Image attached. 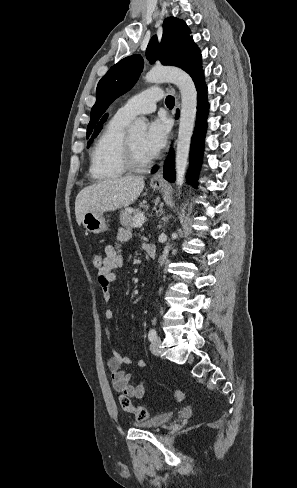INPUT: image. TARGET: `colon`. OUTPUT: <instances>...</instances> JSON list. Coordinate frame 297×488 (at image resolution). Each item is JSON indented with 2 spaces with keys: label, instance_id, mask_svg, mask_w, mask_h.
<instances>
[{
  "label": "colon",
  "instance_id": "1",
  "mask_svg": "<svg viewBox=\"0 0 297 488\" xmlns=\"http://www.w3.org/2000/svg\"><path fill=\"white\" fill-rule=\"evenodd\" d=\"M92 263L97 270L100 269L102 267L103 257L99 254L93 255ZM174 396L177 402H181L184 399V393L181 390H177ZM118 399L121 408L127 413L134 414L136 419L146 420L150 417V411L146 407L135 406L128 396L120 394Z\"/></svg>",
  "mask_w": 297,
  "mask_h": 488
}]
</instances>
